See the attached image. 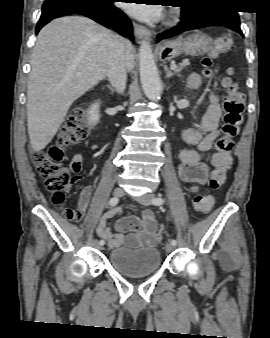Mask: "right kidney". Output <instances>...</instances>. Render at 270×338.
I'll return each instance as SVG.
<instances>
[{
    "mask_svg": "<svg viewBox=\"0 0 270 338\" xmlns=\"http://www.w3.org/2000/svg\"><path fill=\"white\" fill-rule=\"evenodd\" d=\"M98 108H99L98 103L92 104L89 110V118H88L90 123H96L99 120Z\"/></svg>",
    "mask_w": 270,
    "mask_h": 338,
    "instance_id": "obj_1",
    "label": "right kidney"
}]
</instances>
